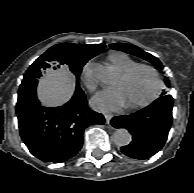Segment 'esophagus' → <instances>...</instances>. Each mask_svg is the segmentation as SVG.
Wrapping results in <instances>:
<instances>
[{"label": "esophagus", "mask_w": 194, "mask_h": 193, "mask_svg": "<svg viewBox=\"0 0 194 193\" xmlns=\"http://www.w3.org/2000/svg\"><path fill=\"white\" fill-rule=\"evenodd\" d=\"M112 115H109V114H107V115H105V120H106V123L107 124H110V121H111V119H112Z\"/></svg>", "instance_id": "34e87169"}]
</instances>
